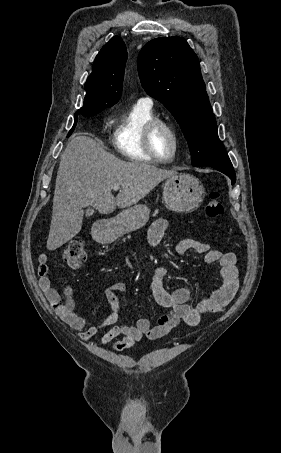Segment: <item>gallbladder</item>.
Masks as SVG:
<instances>
[{"label": "gallbladder", "instance_id": "1", "mask_svg": "<svg viewBox=\"0 0 281 453\" xmlns=\"http://www.w3.org/2000/svg\"><path fill=\"white\" fill-rule=\"evenodd\" d=\"M93 212H94L93 208H87L86 216H91V214H93Z\"/></svg>", "mask_w": 281, "mask_h": 453}]
</instances>
